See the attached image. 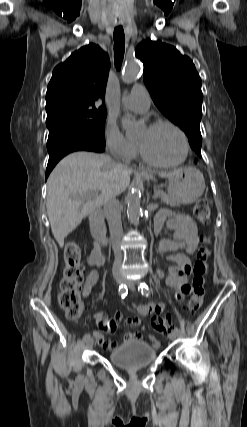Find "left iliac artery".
<instances>
[{
    "mask_svg": "<svg viewBox=\"0 0 247 427\" xmlns=\"http://www.w3.org/2000/svg\"><path fill=\"white\" fill-rule=\"evenodd\" d=\"M138 290L142 293V295L148 296L149 295V287L146 283L142 282L138 286ZM174 330L176 332H180L178 327H175Z\"/></svg>",
    "mask_w": 247,
    "mask_h": 427,
    "instance_id": "1",
    "label": "left iliac artery"
}]
</instances>
